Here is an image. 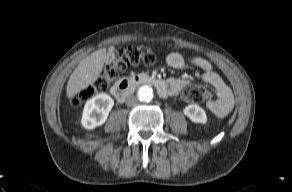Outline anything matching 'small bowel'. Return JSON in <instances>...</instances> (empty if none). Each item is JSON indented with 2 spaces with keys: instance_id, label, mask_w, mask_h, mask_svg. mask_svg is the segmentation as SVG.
I'll use <instances>...</instances> for the list:
<instances>
[{
  "instance_id": "1",
  "label": "small bowel",
  "mask_w": 292,
  "mask_h": 192,
  "mask_svg": "<svg viewBox=\"0 0 292 192\" xmlns=\"http://www.w3.org/2000/svg\"><path fill=\"white\" fill-rule=\"evenodd\" d=\"M116 51L110 49L107 53L106 61L111 62L115 56ZM167 64L173 69H182L185 66L184 57L178 52L170 53L166 58ZM191 64L202 70L201 80L204 83L211 85L218 94V101L209 103V110L218 118L224 117L229 113L233 106V95L231 89L225 84L223 79L214 71L212 64L201 57H193L190 60ZM168 83V95L178 94L186 85L190 83L189 80L183 78H170Z\"/></svg>"
}]
</instances>
